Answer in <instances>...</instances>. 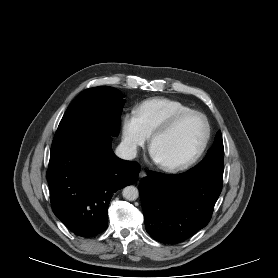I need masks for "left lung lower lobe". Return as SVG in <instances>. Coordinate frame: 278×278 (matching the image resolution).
I'll list each match as a JSON object with an SVG mask.
<instances>
[{
  "label": "left lung lower lobe",
  "instance_id": "1",
  "mask_svg": "<svg viewBox=\"0 0 278 278\" xmlns=\"http://www.w3.org/2000/svg\"><path fill=\"white\" fill-rule=\"evenodd\" d=\"M221 190V177L148 171L139 184L147 233L165 244L186 240L209 223Z\"/></svg>",
  "mask_w": 278,
  "mask_h": 278
}]
</instances>
